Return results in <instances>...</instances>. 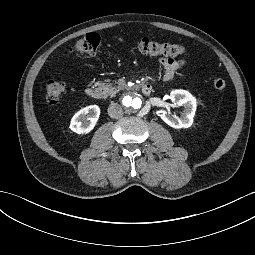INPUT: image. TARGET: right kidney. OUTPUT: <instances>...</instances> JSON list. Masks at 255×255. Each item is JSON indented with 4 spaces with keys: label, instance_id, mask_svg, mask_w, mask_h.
<instances>
[{
    "label": "right kidney",
    "instance_id": "ca27d5eb",
    "mask_svg": "<svg viewBox=\"0 0 255 255\" xmlns=\"http://www.w3.org/2000/svg\"><path fill=\"white\" fill-rule=\"evenodd\" d=\"M99 115L100 108L97 105L87 106L72 117L70 129L78 134L89 133L96 125Z\"/></svg>",
    "mask_w": 255,
    "mask_h": 255
}]
</instances>
